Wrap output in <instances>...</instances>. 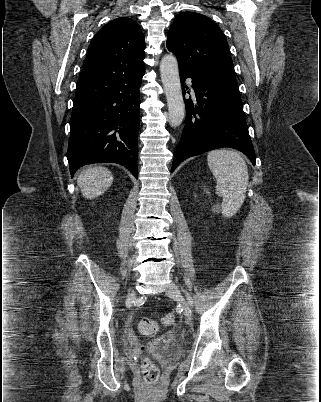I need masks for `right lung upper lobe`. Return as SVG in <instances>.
Masks as SVG:
<instances>
[{"label": "right lung upper lobe", "mask_w": 321, "mask_h": 402, "mask_svg": "<svg viewBox=\"0 0 321 402\" xmlns=\"http://www.w3.org/2000/svg\"><path fill=\"white\" fill-rule=\"evenodd\" d=\"M144 49L140 26L128 17L114 19L94 36L79 80L140 73L145 70Z\"/></svg>", "instance_id": "right-lung-upper-lobe-1"}]
</instances>
